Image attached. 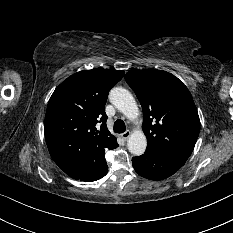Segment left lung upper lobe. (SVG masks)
<instances>
[{"label": "left lung upper lobe", "mask_w": 233, "mask_h": 233, "mask_svg": "<svg viewBox=\"0 0 233 233\" xmlns=\"http://www.w3.org/2000/svg\"><path fill=\"white\" fill-rule=\"evenodd\" d=\"M125 79L143 108L147 149L188 159L200 120L187 87L174 75L157 69L131 70Z\"/></svg>", "instance_id": "1"}]
</instances>
